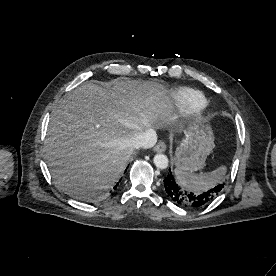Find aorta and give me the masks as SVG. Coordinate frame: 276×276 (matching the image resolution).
<instances>
[{
    "label": "aorta",
    "instance_id": "1",
    "mask_svg": "<svg viewBox=\"0 0 276 276\" xmlns=\"http://www.w3.org/2000/svg\"><path fill=\"white\" fill-rule=\"evenodd\" d=\"M153 161L155 166L159 169H166L169 165V160L167 156L161 153L156 154Z\"/></svg>",
    "mask_w": 276,
    "mask_h": 276
}]
</instances>
